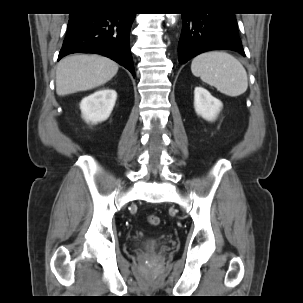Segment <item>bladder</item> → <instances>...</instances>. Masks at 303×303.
Masks as SVG:
<instances>
[{
    "instance_id": "bladder-1",
    "label": "bladder",
    "mask_w": 303,
    "mask_h": 303,
    "mask_svg": "<svg viewBox=\"0 0 303 303\" xmlns=\"http://www.w3.org/2000/svg\"><path fill=\"white\" fill-rule=\"evenodd\" d=\"M148 244H149L148 246H150V244H152L153 246H157V247H162L163 246L162 241H160L158 239H153V240L149 241Z\"/></svg>"
}]
</instances>
